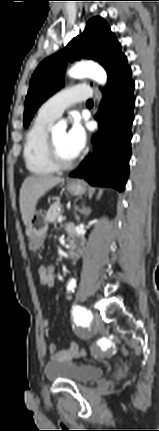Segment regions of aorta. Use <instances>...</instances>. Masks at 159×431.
<instances>
[{
  "instance_id": "1",
  "label": "aorta",
  "mask_w": 159,
  "mask_h": 431,
  "mask_svg": "<svg viewBox=\"0 0 159 431\" xmlns=\"http://www.w3.org/2000/svg\"><path fill=\"white\" fill-rule=\"evenodd\" d=\"M69 75L73 78L89 77L101 85L107 81L106 71L98 64L93 62H80L72 67Z\"/></svg>"
}]
</instances>
